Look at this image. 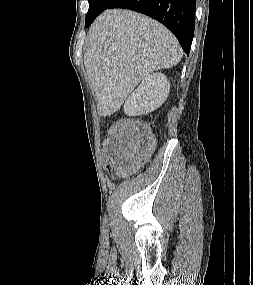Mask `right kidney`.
Wrapping results in <instances>:
<instances>
[{"label": "right kidney", "mask_w": 253, "mask_h": 285, "mask_svg": "<svg viewBox=\"0 0 253 285\" xmlns=\"http://www.w3.org/2000/svg\"><path fill=\"white\" fill-rule=\"evenodd\" d=\"M170 83L165 74L152 73L142 80L139 87L128 97L124 111L129 116L153 112L167 99Z\"/></svg>", "instance_id": "1"}]
</instances>
